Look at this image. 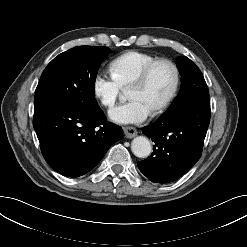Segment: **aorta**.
<instances>
[{
    "instance_id": "obj_1",
    "label": "aorta",
    "mask_w": 247,
    "mask_h": 247,
    "mask_svg": "<svg viewBox=\"0 0 247 247\" xmlns=\"http://www.w3.org/2000/svg\"><path fill=\"white\" fill-rule=\"evenodd\" d=\"M120 100H125V95H119ZM131 150L136 157L145 158L152 152V145L148 138L144 136H137L132 140Z\"/></svg>"
}]
</instances>
